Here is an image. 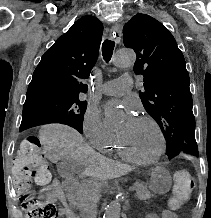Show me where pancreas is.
Masks as SVG:
<instances>
[{
    "mask_svg": "<svg viewBox=\"0 0 211 218\" xmlns=\"http://www.w3.org/2000/svg\"><path fill=\"white\" fill-rule=\"evenodd\" d=\"M96 189V186H80V190L71 191V194L75 196H73L70 206L80 210L82 218H88L94 208H96V205L100 204V201L96 200L99 194V191ZM133 190H136V196L139 200H149L153 196L140 182L134 184Z\"/></svg>",
    "mask_w": 211,
    "mask_h": 218,
    "instance_id": "cf45deb5",
    "label": "pancreas"
}]
</instances>
